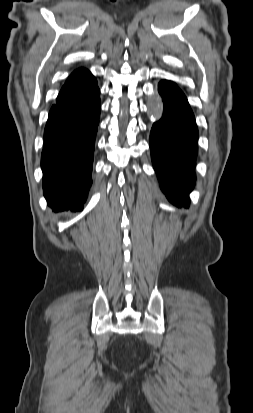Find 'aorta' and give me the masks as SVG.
I'll use <instances>...</instances> for the list:
<instances>
[{
	"label": "aorta",
	"mask_w": 253,
	"mask_h": 413,
	"mask_svg": "<svg viewBox=\"0 0 253 413\" xmlns=\"http://www.w3.org/2000/svg\"><path fill=\"white\" fill-rule=\"evenodd\" d=\"M148 114L154 120H159L163 114V102L159 95H154L148 102Z\"/></svg>",
	"instance_id": "aorta-1"
}]
</instances>
